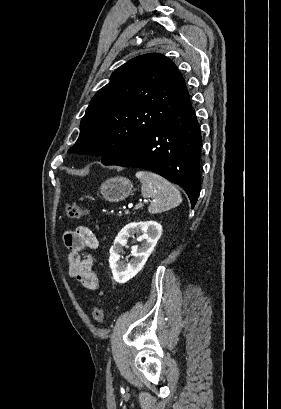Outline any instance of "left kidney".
<instances>
[{
  "mask_svg": "<svg viewBox=\"0 0 281 409\" xmlns=\"http://www.w3.org/2000/svg\"><path fill=\"white\" fill-rule=\"evenodd\" d=\"M135 233L138 235L137 241L142 245L141 247H138V245L131 247V257L133 259L124 265L123 261H120V259H123L121 255L123 253L122 247H127L129 237H134ZM161 235L162 225L156 223V221H145V223L140 221V223L125 225L118 233L113 247L109 251V263L114 281L127 283L132 277H135L144 267Z\"/></svg>",
  "mask_w": 281,
  "mask_h": 409,
  "instance_id": "1",
  "label": "left kidney"
}]
</instances>
